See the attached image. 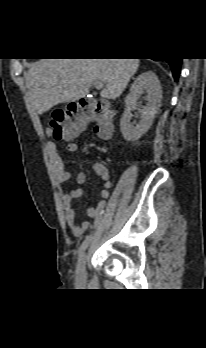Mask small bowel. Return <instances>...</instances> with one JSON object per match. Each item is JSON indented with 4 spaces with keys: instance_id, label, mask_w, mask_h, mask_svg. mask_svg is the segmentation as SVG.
<instances>
[{
    "instance_id": "1",
    "label": "small bowel",
    "mask_w": 206,
    "mask_h": 348,
    "mask_svg": "<svg viewBox=\"0 0 206 348\" xmlns=\"http://www.w3.org/2000/svg\"><path fill=\"white\" fill-rule=\"evenodd\" d=\"M67 150L69 152L74 153L79 150V146L76 143H69L67 145ZM48 153L50 162L53 167L55 179L59 185H63L70 179L71 173L66 169L62 156L56 145L51 144L48 148ZM93 169L103 182V187L100 192L101 201L98 203L97 206L89 207L86 213L89 218L98 219L101 213L103 212L107 200L109 198V189L111 187V181L109 170L103 163L96 162L93 165ZM86 179V174L82 172L78 173L76 176V181L80 185L84 184L86 182ZM82 194L83 190L81 188L64 192L62 194L64 219L70 231L76 237L81 236L90 226V223L87 220H83L79 224L75 222V210L73 208V200L79 198Z\"/></svg>"
}]
</instances>
